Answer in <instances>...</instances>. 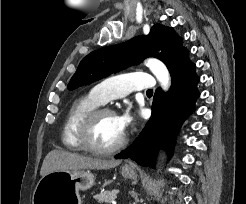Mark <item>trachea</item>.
<instances>
[{
  "instance_id": "trachea-1",
  "label": "trachea",
  "mask_w": 246,
  "mask_h": 204,
  "mask_svg": "<svg viewBox=\"0 0 246 204\" xmlns=\"http://www.w3.org/2000/svg\"><path fill=\"white\" fill-rule=\"evenodd\" d=\"M147 93H153V90L152 89H149V90H147Z\"/></svg>"
}]
</instances>
